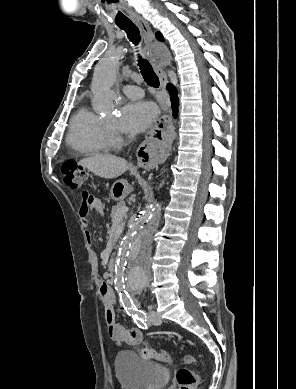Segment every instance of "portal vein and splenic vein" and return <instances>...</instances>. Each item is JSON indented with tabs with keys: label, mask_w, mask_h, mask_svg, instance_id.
<instances>
[{
	"label": "portal vein and splenic vein",
	"mask_w": 296,
	"mask_h": 389,
	"mask_svg": "<svg viewBox=\"0 0 296 389\" xmlns=\"http://www.w3.org/2000/svg\"><path fill=\"white\" fill-rule=\"evenodd\" d=\"M128 207L126 206H123L121 207L117 212H116V215H115V219L119 220L121 219L127 212H128Z\"/></svg>",
	"instance_id": "obj_1"
}]
</instances>
